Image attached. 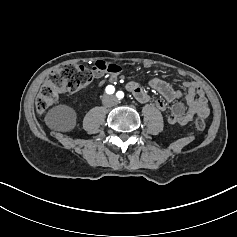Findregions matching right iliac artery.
<instances>
[{"instance_id": "obj_1", "label": "right iliac artery", "mask_w": 237, "mask_h": 237, "mask_svg": "<svg viewBox=\"0 0 237 237\" xmlns=\"http://www.w3.org/2000/svg\"><path fill=\"white\" fill-rule=\"evenodd\" d=\"M105 90L107 94H113L115 91V88L112 85H108Z\"/></svg>"}]
</instances>
